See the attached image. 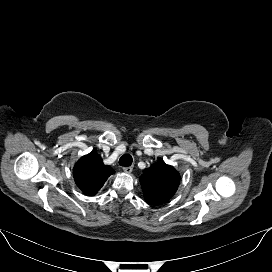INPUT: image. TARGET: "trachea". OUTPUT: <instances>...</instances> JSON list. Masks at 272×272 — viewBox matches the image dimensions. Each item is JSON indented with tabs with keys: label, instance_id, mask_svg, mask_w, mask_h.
Returning <instances> with one entry per match:
<instances>
[{
	"label": "trachea",
	"instance_id": "trachea-1",
	"mask_svg": "<svg viewBox=\"0 0 272 272\" xmlns=\"http://www.w3.org/2000/svg\"><path fill=\"white\" fill-rule=\"evenodd\" d=\"M133 162L132 156L130 154H124L119 159V164L124 167H129Z\"/></svg>",
	"mask_w": 272,
	"mask_h": 272
}]
</instances>
